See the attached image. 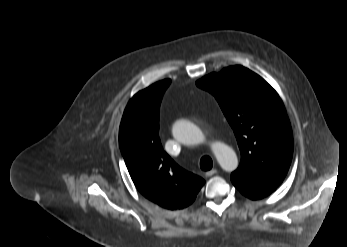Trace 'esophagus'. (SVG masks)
<instances>
[{
	"label": "esophagus",
	"mask_w": 347,
	"mask_h": 247,
	"mask_svg": "<svg viewBox=\"0 0 347 247\" xmlns=\"http://www.w3.org/2000/svg\"><path fill=\"white\" fill-rule=\"evenodd\" d=\"M216 173H217V170H216V169H211V170L207 171V172L205 173V175H206L207 177H210V176H212V175H214V174H216Z\"/></svg>",
	"instance_id": "obj_1"
}]
</instances>
